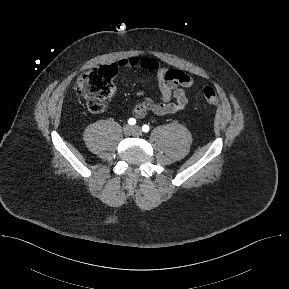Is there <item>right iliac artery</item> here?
Wrapping results in <instances>:
<instances>
[{
	"label": "right iliac artery",
	"mask_w": 289,
	"mask_h": 289,
	"mask_svg": "<svg viewBox=\"0 0 289 289\" xmlns=\"http://www.w3.org/2000/svg\"><path fill=\"white\" fill-rule=\"evenodd\" d=\"M128 123H129V125H135V124H136L135 118H130V119L128 120Z\"/></svg>",
	"instance_id": "right-iliac-artery-1"
}]
</instances>
